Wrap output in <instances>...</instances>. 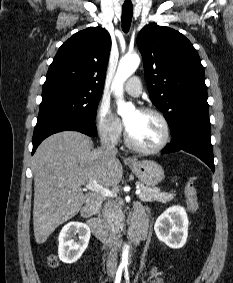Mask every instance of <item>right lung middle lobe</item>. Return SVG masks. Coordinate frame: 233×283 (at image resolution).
Returning a JSON list of instances; mask_svg holds the SVG:
<instances>
[{"instance_id":"1","label":"right lung middle lobe","mask_w":233,"mask_h":283,"mask_svg":"<svg viewBox=\"0 0 233 283\" xmlns=\"http://www.w3.org/2000/svg\"><path fill=\"white\" fill-rule=\"evenodd\" d=\"M101 95L102 91L62 83L44 84L38 119L63 115L94 123Z\"/></svg>"}]
</instances>
